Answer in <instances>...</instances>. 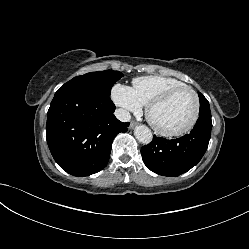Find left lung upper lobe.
<instances>
[{"instance_id":"5c2ea615","label":"left lung upper lobe","mask_w":249,"mask_h":249,"mask_svg":"<svg viewBox=\"0 0 249 249\" xmlns=\"http://www.w3.org/2000/svg\"><path fill=\"white\" fill-rule=\"evenodd\" d=\"M199 95V99H200V111H199V115H211L210 112V106H209V102L207 101V99L204 97L203 94L198 93Z\"/></svg>"}]
</instances>
